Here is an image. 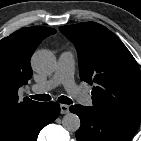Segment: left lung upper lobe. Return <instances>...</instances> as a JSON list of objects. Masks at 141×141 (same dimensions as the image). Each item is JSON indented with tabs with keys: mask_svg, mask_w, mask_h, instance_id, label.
<instances>
[{
	"mask_svg": "<svg viewBox=\"0 0 141 141\" xmlns=\"http://www.w3.org/2000/svg\"><path fill=\"white\" fill-rule=\"evenodd\" d=\"M79 52L80 78L95 84L93 107L141 122V72L132 54L110 30L95 22L62 26Z\"/></svg>",
	"mask_w": 141,
	"mask_h": 141,
	"instance_id": "1",
	"label": "left lung upper lobe"
}]
</instances>
